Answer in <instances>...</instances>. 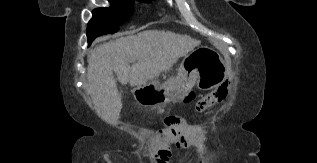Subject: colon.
I'll use <instances>...</instances> for the list:
<instances>
[{
    "label": "colon",
    "instance_id": "5ec220e1",
    "mask_svg": "<svg viewBox=\"0 0 317 163\" xmlns=\"http://www.w3.org/2000/svg\"><path fill=\"white\" fill-rule=\"evenodd\" d=\"M227 93L228 83H224L223 85L211 91L210 93L201 96L196 103V109L198 111L207 110L214 104L223 101L226 98Z\"/></svg>",
    "mask_w": 317,
    "mask_h": 163
}]
</instances>
